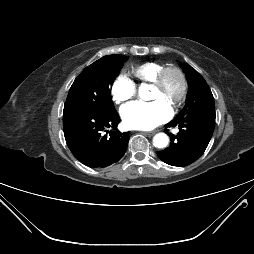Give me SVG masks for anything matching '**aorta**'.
I'll return each mask as SVG.
<instances>
[{
    "instance_id": "762f6f07",
    "label": "aorta",
    "mask_w": 254,
    "mask_h": 254,
    "mask_svg": "<svg viewBox=\"0 0 254 254\" xmlns=\"http://www.w3.org/2000/svg\"><path fill=\"white\" fill-rule=\"evenodd\" d=\"M142 88L139 90V94L143 95ZM169 143V138L165 133H158L153 138V144L157 148H165Z\"/></svg>"
}]
</instances>
